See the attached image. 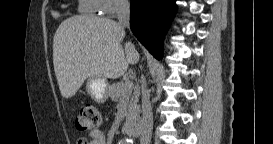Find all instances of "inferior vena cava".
<instances>
[{
	"instance_id": "inferior-vena-cava-1",
	"label": "inferior vena cava",
	"mask_w": 273,
	"mask_h": 144,
	"mask_svg": "<svg viewBox=\"0 0 273 144\" xmlns=\"http://www.w3.org/2000/svg\"><path fill=\"white\" fill-rule=\"evenodd\" d=\"M118 23L121 27H129L130 4L128 0H115ZM142 120L140 144H150L152 136L153 114L150 96L146 89L145 78L142 76Z\"/></svg>"
}]
</instances>
